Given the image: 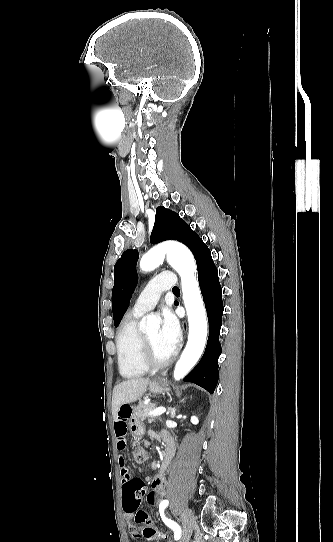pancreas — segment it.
<instances>
[{
  "mask_svg": "<svg viewBox=\"0 0 333 542\" xmlns=\"http://www.w3.org/2000/svg\"><path fill=\"white\" fill-rule=\"evenodd\" d=\"M156 408L157 404H139V406L135 408L133 418L138 420V422H144L148 412H153V410H156ZM156 418H158V416H155V418H149V420H156Z\"/></svg>",
  "mask_w": 333,
  "mask_h": 542,
  "instance_id": "obj_1",
  "label": "pancreas"
}]
</instances>
